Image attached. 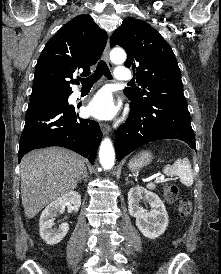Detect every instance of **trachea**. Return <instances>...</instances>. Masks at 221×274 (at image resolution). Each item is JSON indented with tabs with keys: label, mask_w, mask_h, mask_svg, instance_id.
Here are the masks:
<instances>
[{
	"label": "trachea",
	"mask_w": 221,
	"mask_h": 274,
	"mask_svg": "<svg viewBox=\"0 0 221 274\" xmlns=\"http://www.w3.org/2000/svg\"><path fill=\"white\" fill-rule=\"evenodd\" d=\"M103 75L109 80L112 79V75L110 73V70H109L106 62L101 60L98 63L97 68L94 71V73L85 79H80V81L83 86H91L95 82H97Z\"/></svg>",
	"instance_id": "obj_1"
}]
</instances>
